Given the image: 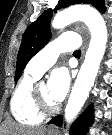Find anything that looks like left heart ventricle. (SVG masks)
I'll use <instances>...</instances> for the list:
<instances>
[{
    "label": "left heart ventricle",
    "instance_id": "1",
    "mask_svg": "<svg viewBox=\"0 0 112 135\" xmlns=\"http://www.w3.org/2000/svg\"><path fill=\"white\" fill-rule=\"evenodd\" d=\"M38 91H39L41 98L44 100V102L47 105L53 106L56 104V102L54 100H52L49 95L48 84H46V83L39 84Z\"/></svg>",
    "mask_w": 112,
    "mask_h": 135
}]
</instances>
